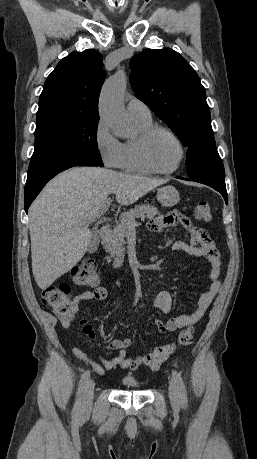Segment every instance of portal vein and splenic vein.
Segmentation results:
<instances>
[{"label": "portal vein and splenic vein", "mask_w": 257, "mask_h": 459, "mask_svg": "<svg viewBox=\"0 0 257 459\" xmlns=\"http://www.w3.org/2000/svg\"><path fill=\"white\" fill-rule=\"evenodd\" d=\"M110 202H111V200L108 199V200L106 201V203L104 204L103 208H101V209L97 212V214H95L93 217L89 218V219H88V222H93L96 218H98V217H100L102 214H104V213L107 211V209L109 208ZM123 215H124V213L121 214V217H122ZM129 224H130V226H135L137 223L135 222V219H132V220H130Z\"/></svg>", "instance_id": "1"}]
</instances>
